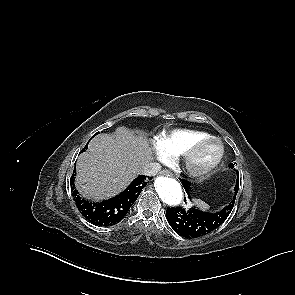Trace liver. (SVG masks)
I'll use <instances>...</instances> for the list:
<instances>
[{
  "label": "liver",
  "mask_w": 295,
  "mask_h": 295,
  "mask_svg": "<svg viewBox=\"0 0 295 295\" xmlns=\"http://www.w3.org/2000/svg\"><path fill=\"white\" fill-rule=\"evenodd\" d=\"M152 150L143 135L118 127L99 134L77 161L76 187L85 198L101 200L124 190L140 169L151 163Z\"/></svg>",
  "instance_id": "6515ba94"
}]
</instances>
